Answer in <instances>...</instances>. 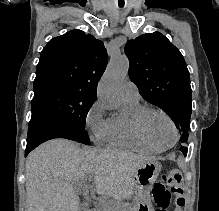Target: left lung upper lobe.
Here are the masks:
<instances>
[{"label":"left lung upper lobe","instance_id":"left-lung-upper-lobe-1","mask_svg":"<svg viewBox=\"0 0 219 211\" xmlns=\"http://www.w3.org/2000/svg\"><path fill=\"white\" fill-rule=\"evenodd\" d=\"M125 52L131 81L146 101L171 117L180 131V142L185 143L192 102L190 74L182 54L159 32L128 41Z\"/></svg>","mask_w":219,"mask_h":211}]
</instances>
